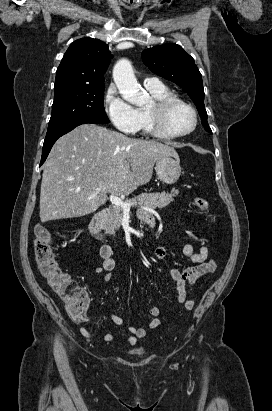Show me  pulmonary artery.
Returning <instances> with one entry per match:
<instances>
[{
  "instance_id": "1",
  "label": "pulmonary artery",
  "mask_w": 272,
  "mask_h": 411,
  "mask_svg": "<svg viewBox=\"0 0 272 411\" xmlns=\"http://www.w3.org/2000/svg\"><path fill=\"white\" fill-rule=\"evenodd\" d=\"M144 84L147 87H160L162 84L157 78L151 77V78H146L144 80Z\"/></svg>"
}]
</instances>
